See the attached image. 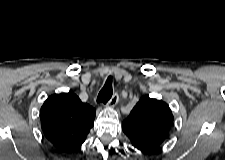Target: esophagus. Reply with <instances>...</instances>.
I'll return each mask as SVG.
<instances>
[{
  "instance_id": "1",
  "label": "esophagus",
  "mask_w": 225,
  "mask_h": 160,
  "mask_svg": "<svg viewBox=\"0 0 225 160\" xmlns=\"http://www.w3.org/2000/svg\"><path fill=\"white\" fill-rule=\"evenodd\" d=\"M118 94L117 93H115L113 96H112V98L110 99V101L108 102V107H111V108H113V107H115L116 106V104H117V102H118Z\"/></svg>"
}]
</instances>
